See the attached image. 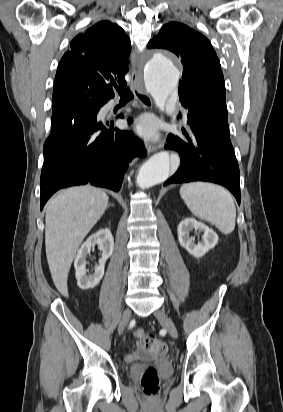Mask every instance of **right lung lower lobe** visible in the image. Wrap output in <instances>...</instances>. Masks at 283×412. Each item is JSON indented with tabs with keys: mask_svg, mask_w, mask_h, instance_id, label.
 <instances>
[{
	"mask_svg": "<svg viewBox=\"0 0 283 412\" xmlns=\"http://www.w3.org/2000/svg\"><path fill=\"white\" fill-rule=\"evenodd\" d=\"M105 103H100V108ZM100 108L62 123H51L44 144L41 210L54 192L67 186L91 183L118 191L129 162L146 155L143 143L131 132L113 125L107 128L97 120Z\"/></svg>",
	"mask_w": 283,
	"mask_h": 412,
	"instance_id": "1",
	"label": "right lung lower lobe"
}]
</instances>
